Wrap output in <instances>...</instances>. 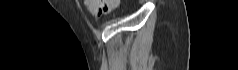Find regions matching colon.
Segmentation results:
<instances>
[{
    "label": "colon",
    "instance_id": "colon-1",
    "mask_svg": "<svg viewBox=\"0 0 238 70\" xmlns=\"http://www.w3.org/2000/svg\"><path fill=\"white\" fill-rule=\"evenodd\" d=\"M86 4L92 14L101 16L115 8L119 0H87Z\"/></svg>",
    "mask_w": 238,
    "mask_h": 70
}]
</instances>
